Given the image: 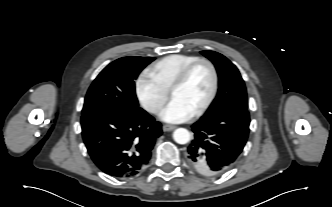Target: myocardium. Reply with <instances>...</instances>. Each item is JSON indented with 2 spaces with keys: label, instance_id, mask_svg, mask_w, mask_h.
<instances>
[{
  "label": "myocardium",
  "instance_id": "f54148a6",
  "mask_svg": "<svg viewBox=\"0 0 332 207\" xmlns=\"http://www.w3.org/2000/svg\"><path fill=\"white\" fill-rule=\"evenodd\" d=\"M199 64H205L209 68L212 75V86L208 97L203 102V104L194 112L193 116H199L203 114L210 107L216 97L219 87V74L215 64L207 58H197L181 70L169 90L171 95L173 91L180 88L186 82L192 70Z\"/></svg>",
  "mask_w": 332,
  "mask_h": 207
}]
</instances>
